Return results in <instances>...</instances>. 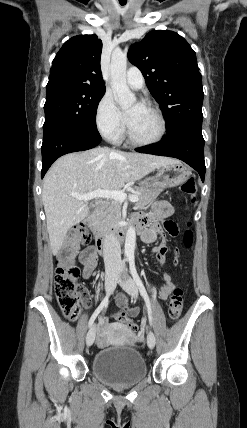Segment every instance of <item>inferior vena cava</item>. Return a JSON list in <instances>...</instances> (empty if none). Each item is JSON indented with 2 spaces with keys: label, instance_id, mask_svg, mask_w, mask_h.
I'll return each mask as SVG.
<instances>
[{
  "label": "inferior vena cava",
  "instance_id": "inferior-vena-cava-1",
  "mask_svg": "<svg viewBox=\"0 0 247 428\" xmlns=\"http://www.w3.org/2000/svg\"><path fill=\"white\" fill-rule=\"evenodd\" d=\"M103 256L106 270L119 268L122 265L120 243L113 233H108L104 237Z\"/></svg>",
  "mask_w": 247,
  "mask_h": 428
}]
</instances>
